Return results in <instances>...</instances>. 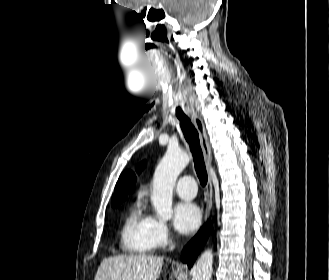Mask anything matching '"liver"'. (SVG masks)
Returning a JSON list of instances; mask_svg holds the SVG:
<instances>
[{"mask_svg":"<svg viewBox=\"0 0 329 280\" xmlns=\"http://www.w3.org/2000/svg\"><path fill=\"white\" fill-rule=\"evenodd\" d=\"M162 266V257L117 255L102 260L94 280H157Z\"/></svg>","mask_w":329,"mask_h":280,"instance_id":"6515ba94","label":"liver"}]
</instances>
